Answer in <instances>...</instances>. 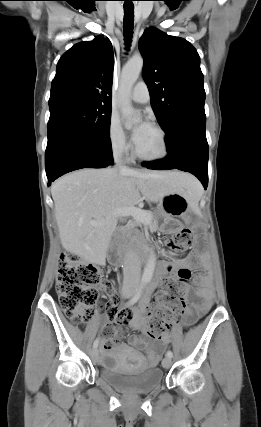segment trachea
I'll use <instances>...</instances> for the list:
<instances>
[{
	"label": "trachea",
	"instance_id": "1",
	"mask_svg": "<svg viewBox=\"0 0 261 427\" xmlns=\"http://www.w3.org/2000/svg\"><path fill=\"white\" fill-rule=\"evenodd\" d=\"M124 38H125V45L130 47L131 41H132V35H133V21H134V5L130 3H124Z\"/></svg>",
	"mask_w": 261,
	"mask_h": 427
}]
</instances>
